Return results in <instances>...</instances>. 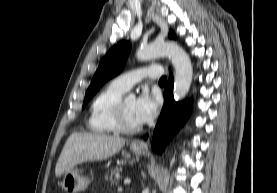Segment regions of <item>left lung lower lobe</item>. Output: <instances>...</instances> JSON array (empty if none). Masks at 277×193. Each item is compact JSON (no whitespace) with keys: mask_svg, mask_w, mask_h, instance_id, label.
I'll use <instances>...</instances> for the list:
<instances>
[{"mask_svg":"<svg viewBox=\"0 0 277 193\" xmlns=\"http://www.w3.org/2000/svg\"><path fill=\"white\" fill-rule=\"evenodd\" d=\"M165 103L154 130L152 148L162 153L173 134L182 126L190 115V103H176L173 98V75L170 74L164 89Z\"/></svg>","mask_w":277,"mask_h":193,"instance_id":"obj_1","label":"left lung lower lobe"}]
</instances>
